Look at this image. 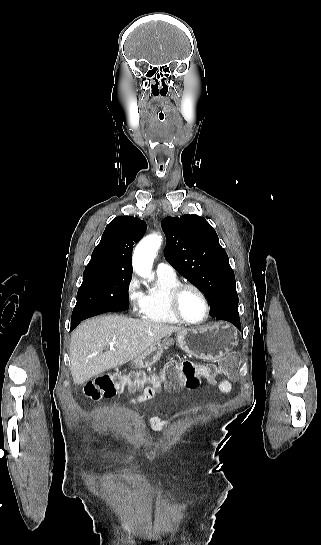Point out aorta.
Segmentation results:
<instances>
[{"label": "aorta", "instance_id": "1", "mask_svg": "<svg viewBox=\"0 0 321 545\" xmlns=\"http://www.w3.org/2000/svg\"><path fill=\"white\" fill-rule=\"evenodd\" d=\"M161 236L153 234L145 237L136 246L133 253V268L142 277L151 272L153 261L161 246Z\"/></svg>", "mask_w": 321, "mask_h": 545}]
</instances>
